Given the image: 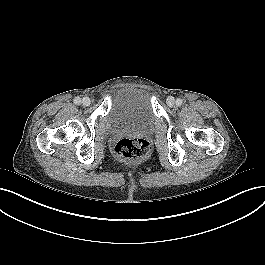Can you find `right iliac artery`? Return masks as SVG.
I'll list each match as a JSON object with an SVG mask.
<instances>
[{
  "label": "right iliac artery",
  "mask_w": 265,
  "mask_h": 265,
  "mask_svg": "<svg viewBox=\"0 0 265 265\" xmlns=\"http://www.w3.org/2000/svg\"><path fill=\"white\" fill-rule=\"evenodd\" d=\"M74 103H75L76 105H79V104L81 103V98H80V97H75V98H74Z\"/></svg>",
  "instance_id": "1"
}]
</instances>
